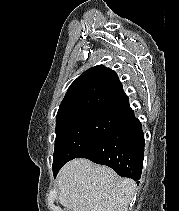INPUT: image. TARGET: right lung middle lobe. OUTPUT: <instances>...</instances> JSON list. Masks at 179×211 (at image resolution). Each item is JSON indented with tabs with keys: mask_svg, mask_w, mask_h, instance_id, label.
Returning <instances> with one entry per match:
<instances>
[{
	"mask_svg": "<svg viewBox=\"0 0 179 211\" xmlns=\"http://www.w3.org/2000/svg\"><path fill=\"white\" fill-rule=\"evenodd\" d=\"M120 116L121 112L91 110L57 119L53 169L63 166L99 142Z\"/></svg>",
	"mask_w": 179,
	"mask_h": 211,
	"instance_id": "right-lung-middle-lobe-1",
	"label": "right lung middle lobe"
}]
</instances>
